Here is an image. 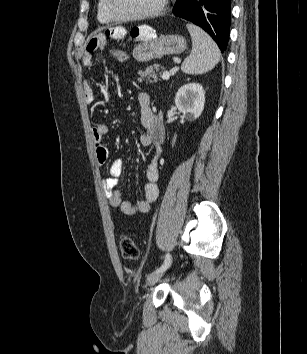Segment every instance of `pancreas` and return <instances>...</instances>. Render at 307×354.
Segmentation results:
<instances>
[{
    "mask_svg": "<svg viewBox=\"0 0 307 354\" xmlns=\"http://www.w3.org/2000/svg\"><path fill=\"white\" fill-rule=\"evenodd\" d=\"M162 67L159 64L147 67L144 71L140 70L138 72L139 81L144 80L147 84L158 81V73Z\"/></svg>",
    "mask_w": 307,
    "mask_h": 354,
    "instance_id": "cf45deb5",
    "label": "pancreas"
}]
</instances>
